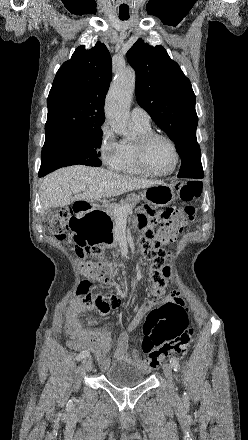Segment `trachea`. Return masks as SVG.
<instances>
[{
    "mask_svg": "<svg viewBox=\"0 0 248 440\" xmlns=\"http://www.w3.org/2000/svg\"><path fill=\"white\" fill-rule=\"evenodd\" d=\"M119 18L121 20H128L129 19V15H119Z\"/></svg>",
    "mask_w": 248,
    "mask_h": 440,
    "instance_id": "obj_1",
    "label": "trachea"
}]
</instances>
